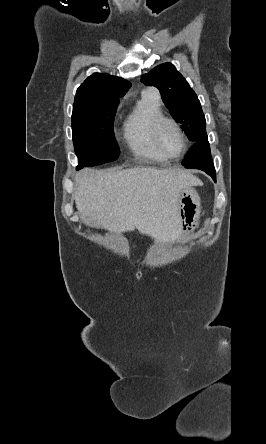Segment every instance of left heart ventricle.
I'll return each mask as SVG.
<instances>
[{
	"instance_id": "left-heart-ventricle-1",
	"label": "left heart ventricle",
	"mask_w": 266,
	"mask_h": 444,
	"mask_svg": "<svg viewBox=\"0 0 266 444\" xmlns=\"http://www.w3.org/2000/svg\"><path fill=\"white\" fill-rule=\"evenodd\" d=\"M159 141L163 150L168 155L175 156L180 152L181 138L172 124L165 123L162 126L159 134Z\"/></svg>"
}]
</instances>
